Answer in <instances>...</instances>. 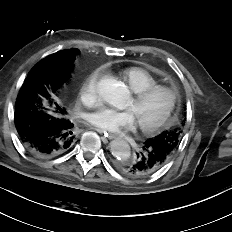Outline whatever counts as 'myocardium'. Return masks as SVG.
Here are the masks:
<instances>
[{
  "label": "myocardium",
  "instance_id": "obj_1",
  "mask_svg": "<svg viewBox=\"0 0 232 232\" xmlns=\"http://www.w3.org/2000/svg\"><path fill=\"white\" fill-rule=\"evenodd\" d=\"M159 92H165L168 94L169 101H168L167 108L165 112L152 123L138 122L139 129L144 133H154L169 122L174 112V109L177 105L178 93L174 88L170 86H166V85H154V86L145 88L141 91L134 93L133 101L135 103H140V102L145 101L147 98H149L153 94H156Z\"/></svg>",
  "mask_w": 232,
  "mask_h": 232
}]
</instances>
